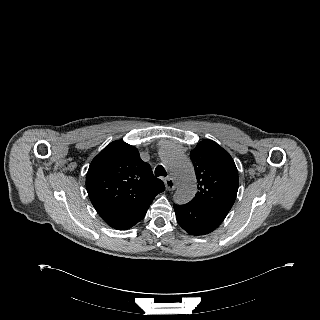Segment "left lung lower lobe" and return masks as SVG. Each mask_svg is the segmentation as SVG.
Listing matches in <instances>:
<instances>
[{"label":"left lung lower lobe","mask_w":320,"mask_h":320,"mask_svg":"<svg viewBox=\"0 0 320 320\" xmlns=\"http://www.w3.org/2000/svg\"><path fill=\"white\" fill-rule=\"evenodd\" d=\"M178 224L191 235H204L214 231L228 212L190 201L185 205L174 204Z\"/></svg>","instance_id":"0a47b994"}]
</instances>
